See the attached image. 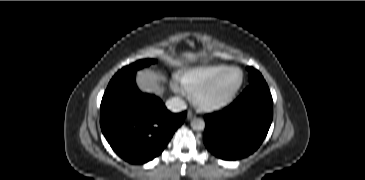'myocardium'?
Returning <instances> with one entry per match:
<instances>
[{"label": "myocardium", "instance_id": "1", "mask_svg": "<svg viewBox=\"0 0 365 180\" xmlns=\"http://www.w3.org/2000/svg\"><path fill=\"white\" fill-rule=\"evenodd\" d=\"M230 70H237L240 72L241 79L238 84V86L235 88V90L231 93L229 97L222 101L218 102H204L201 97L204 92H206L214 83L215 81L222 76L224 73ZM245 81V75L243 70L240 67L237 66H227L220 72H218L216 75H214L212 78H210L207 82H205L203 85L198 87L192 94L191 99L193 104L199 109L200 111L204 112H214L221 110L229 105H231L237 98L238 94L240 93Z\"/></svg>", "mask_w": 365, "mask_h": 180}]
</instances>
